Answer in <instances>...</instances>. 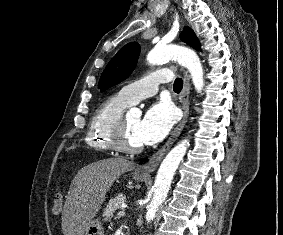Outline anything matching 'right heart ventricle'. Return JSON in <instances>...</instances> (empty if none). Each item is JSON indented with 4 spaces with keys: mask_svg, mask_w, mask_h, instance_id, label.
<instances>
[{
    "mask_svg": "<svg viewBox=\"0 0 283 235\" xmlns=\"http://www.w3.org/2000/svg\"><path fill=\"white\" fill-rule=\"evenodd\" d=\"M130 105L120 93L107 98L99 104L88 125L85 138L87 147L102 152L115 151L111 132L124 110Z\"/></svg>",
    "mask_w": 283,
    "mask_h": 235,
    "instance_id": "obj_1",
    "label": "right heart ventricle"
}]
</instances>
